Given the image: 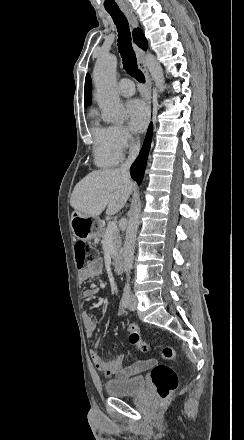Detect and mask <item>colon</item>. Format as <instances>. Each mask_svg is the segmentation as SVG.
Segmentation results:
<instances>
[{"instance_id": "colon-1", "label": "colon", "mask_w": 244, "mask_h": 440, "mask_svg": "<svg viewBox=\"0 0 244 440\" xmlns=\"http://www.w3.org/2000/svg\"><path fill=\"white\" fill-rule=\"evenodd\" d=\"M97 256V251L95 248H90L84 241H78L75 244V263L78 270H84L87 264ZM136 323L132 322L129 330L131 331L129 336L130 343L137 345L138 348L144 352L148 353L152 347L151 345L142 339L141 335L138 333L134 335ZM160 355L165 360H176L178 358L177 351L170 345H166L160 352ZM152 381L156 390L157 396L162 402L166 401L173 390L178 386V378L173 370H171L166 365H158L154 367L152 373Z\"/></svg>"}]
</instances>
